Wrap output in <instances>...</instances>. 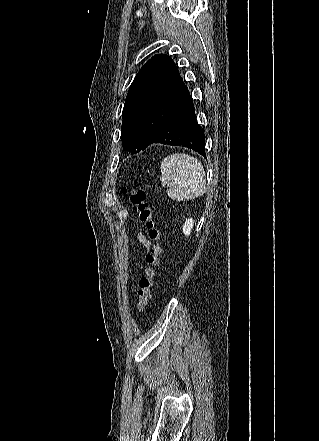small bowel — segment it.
<instances>
[{
    "mask_svg": "<svg viewBox=\"0 0 319 441\" xmlns=\"http://www.w3.org/2000/svg\"><path fill=\"white\" fill-rule=\"evenodd\" d=\"M138 239L141 241V243L146 247L149 248L150 241L146 239L145 235L142 233L138 234Z\"/></svg>",
    "mask_w": 319,
    "mask_h": 441,
    "instance_id": "c3829d8e",
    "label": "small bowel"
}]
</instances>
